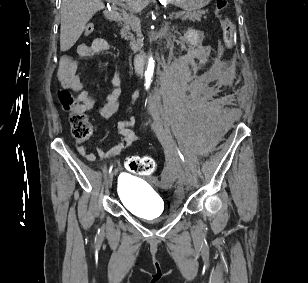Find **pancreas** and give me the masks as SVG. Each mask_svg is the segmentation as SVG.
<instances>
[{
	"mask_svg": "<svg viewBox=\"0 0 308 283\" xmlns=\"http://www.w3.org/2000/svg\"><path fill=\"white\" fill-rule=\"evenodd\" d=\"M134 11H131V13H124L122 18V24H121V37L125 38L126 40L130 41L131 49L134 52L141 50V40L136 39L133 32L139 33L140 32V21L135 16ZM202 15H205V11H194L192 13H186L183 17V20L189 19L192 21H200ZM206 18V16H204Z\"/></svg>",
	"mask_w": 308,
	"mask_h": 283,
	"instance_id": "obj_1",
	"label": "pancreas"
}]
</instances>
